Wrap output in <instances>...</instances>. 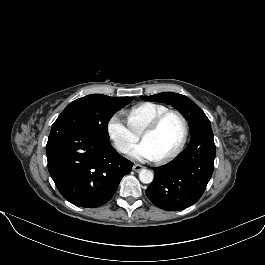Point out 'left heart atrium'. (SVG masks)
<instances>
[{"label": "left heart atrium", "instance_id": "obj_1", "mask_svg": "<svg viewBox=\"0 0 265 265\" xmlns=\"http://www.w3.org/2000/svg\"><path fill=\"white\" fill-rule=\"evenodd\" d=\"M130 156L137 160H153L155 156L149 146L143 141L136 145L130 152Z\"/></svg>", "mask_w": 265, "mask_h": 265}]
</instances>
